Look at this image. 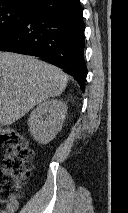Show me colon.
<instances>
[{
    "label": "colon",
    "mask_w": 128,
    "mask_h": 213,
    "mask_svg": "<svg viewBox=\"0 0 128 213\" xmlns=\"http://www.w3.org/2000/svg\"><path fill=\"white\" fill-rule=\"evenodd\" d=\"M0 144L6 154L0 161V204L22 195V186L30 175L33 151L17 130L0 124Z\"/></svg>",
    "instance_id": "obj_1"
}]
</instances>
